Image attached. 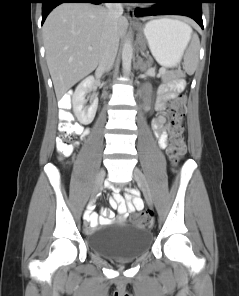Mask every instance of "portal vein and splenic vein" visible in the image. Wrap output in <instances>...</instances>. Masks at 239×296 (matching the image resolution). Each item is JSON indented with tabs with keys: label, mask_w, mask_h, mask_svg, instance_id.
Wrapping results in <instances>:
<instances>
[{
	"label": "portal vein and splenic vein",
	"mask_w": 239,
	"mask_h": 296,
	"mask_svg": "<svg viewBox=\"0 0 239 296\" xmlns=\"http://www.w3.org/2000/svg\"><path fill=\"white\" fill-rule=\"evenodd\" d=\"M88 49H89V50H92V48H91V47H89Z\"/></svg>",
	"instance_id": "obj_1"
}]
</instances>
